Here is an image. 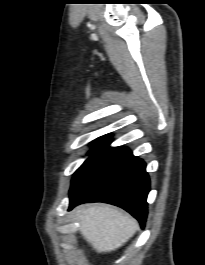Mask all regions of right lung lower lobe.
<instances>
[{"label":"right lung lower lobe","mask_w":205,"mask_h":265,"mask_svg":"<svg viewBox=\"0 0 205 265\" xmlns=\"http://www.w3.org/2000/svg\"><path fill=\"white\" fill-rule=\"evenodd\" d=\"M150 180L146 164L126 147H110L70 190L69 210L88 202H106L132 214L144 227Z\"/></svg>","instance_id":"obj_1"}]
</instances>
